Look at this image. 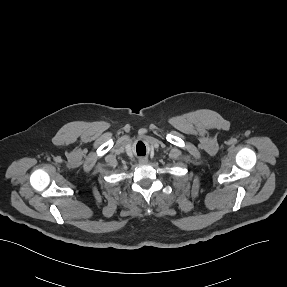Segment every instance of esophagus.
<instances>
[{
    "mask_svg": "<svg viewBox=\"0 0 287 287\" xmlns=\"http://www.w3.org/2000/svg\"><path fill=\"white\" fill-rule=\"evenodd\" d=\"M139 162L144 164L148 162V159L146 157H140Z\"/></svg>",
    "mask_w": 287,
    "mask_h": 287,
    "instance_id": "esophagus-1",
    "label": "esophagus"
}]
</instances>
